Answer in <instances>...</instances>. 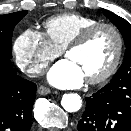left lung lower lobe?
<instances>
[{
    "label": "left lung lower lobe",
    "mask_w": 131,
    "mask_h": 131,
    "mask_svg": "<svg viewBox=\"0 0 131 131\" xmlns=\"http://www.w3.org/2000/svg\"><path fill=\"white\" fill-rule=\"evenodd\" d=\"M78 131H131V78L110 82L86 98Z\"/></svg>",
    "instance_id": "1"
}]
</instances>
